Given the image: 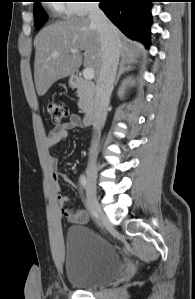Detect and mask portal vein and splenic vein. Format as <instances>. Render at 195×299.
Segmentation results:
<instances>
[{
    "instance_id": "1",
    "label": "portal vein and splenic vein",
    "mask_w": 195,
    "mask_h": 299,
    "mask_svg": "<svg viewBox=\"0 0 195 299\" xmlns=\"http://www.w3.org/2000/svg\"><path fill=\"white\" fill-rule=\"evenodd\" d=\"M78 50L77 49H71L70 50V53L72 54H75L77 53ZM59 54L55 53L54 56H58ZM83 77L86 79V80H92L94 78V70L91 68V67H86L84 70H83Z\"/></svg>"
}]
</instances>
